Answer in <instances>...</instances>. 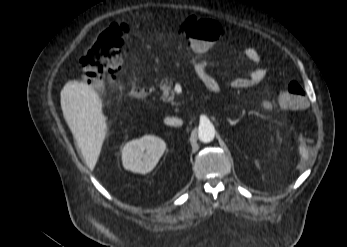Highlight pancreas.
Returning <instances> with one entry per match:
<instances>
[{
  "instance_id": "pancreas-1",
  "label": "pancreas",
  "mask_w": 347,
  "mask_h": 247,
  "mask_svg": "<svg viewBox=\"0 0 347 247\" xmlns=\"http://www.w3.org/2000/svg\"><path fill=\"white\" fill-rule=\"evenodd\" d=\"M173 81L172 79L168 80L167 78L158 85L159 88L162 90V96L161 99L165 102H169L171 104H176L174 101V91L172 89Z\"/></svg>"
}]
</instances>
